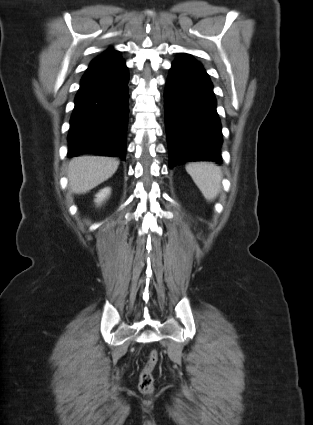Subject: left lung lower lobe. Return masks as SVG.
Instances as JSON below:
<instances>
[{"instance_id":"0a47b994","label":"left lung lower lobe","mask_w":313,"mask_h":425,"mask_svg":"<svg viewBox=\"0 0 313 425\" xmlns=\"http://www.w3.org/2000/svg\"><path fill=\"white\" fill-rule=\"evenodd\" d=\"M213 85L201 63L181 53L165 88V125L170 167L183 162H221V123Z\"/></svg>"}]
</instances>
